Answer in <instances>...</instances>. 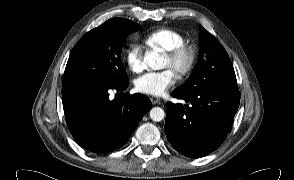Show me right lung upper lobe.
<instances>
[{"instance_id":"1","label":"right lung upper lobe","mask_w":294,"mask_h":180,"mask_svg":"<svg viewBox=\"0 0 294 180\" xmlns=\"http://www.w3.org/2000/svg\"><path fill=\"white\" fill-rule=\"evenodd\" d=\"M110 20H113V21H124V22H128L130 20L128 19H123V18H113V19H110ZM109 21V20H108Z\"/></svg>"}]
</instances>
